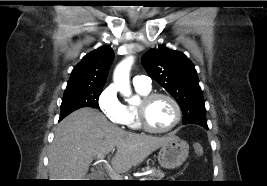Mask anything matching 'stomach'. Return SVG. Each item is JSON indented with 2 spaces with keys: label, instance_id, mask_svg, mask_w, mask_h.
<instances>
[{
  "label": "stomach",
  "instance_id": "stomach-1",
  "mask_svg": "<svg viewBox=\"0 0 267 186\" xmlns=\"http://www.w3.org/2000/svg\"><path fill=\"white\" fill-rule=\"evenodd\" d=\"M189 145L175 135H170L169 141L160 147L159 164L166 169L180 167L188 157Z\"/></svg>",
  "mask_w": 267,
  "mask_h": 186
}]
</instances>
